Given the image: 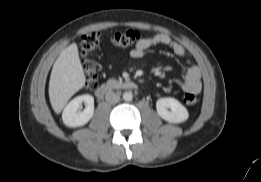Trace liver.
I'll use <instances>...</instances> for the list:
<instances>
[{"label":"liver","mask_w":261,"mask_h":182,"mask_svg":"<svg viewBox=\"0 0 261 182\" xmlns=\"http://www.w3.org/2000/svg\"><path fill=\"white\" fill-rule=\"evenodd\" d=\"M85 75L76 43L65 48L56 59L49 81L50 103L59 114L68 100L85 85Z\"/></svg>","instance_id":"1"}]
</instances>
